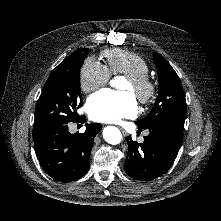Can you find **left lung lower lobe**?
<instances>
[{"label":"left lung lower lobe","instance_id":"1","mask_svg":"<svg viewBox=\"0 0 221 221\" xmlns=\"http://www.w3.org/2000/svg\"><path fill=\"white\" fill-rule=\"evenodd\" d=\"M184 122L185 119L170 118L152 124L141 144L127 137L125 172L134 179L152 180L168 171L181 146Z\"/></svg>","mask_w":221,"mask_h":221}]
</instances>
